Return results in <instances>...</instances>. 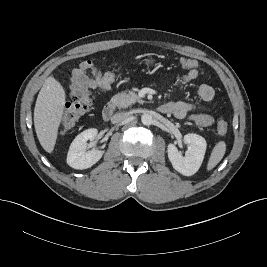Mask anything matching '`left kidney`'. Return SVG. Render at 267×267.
<instances>
[{"instance_id":"1","label":"left kidney","mask_w":267,"mask_h":267,"mask_svg":"<svg viewBox=\"0 0 267 267\" xmlns=\"http://www.w3.org/2000/svg\"><path fill=\"white\" fill-rule=\"evenodd\" d=\"M184 142L187 144L185 156L174 144H169L168 158L176 171L184 176H191L199 170L203 162L207 143L202 136L193 133L186 134Z\"/></svg>"}]
</instances>
